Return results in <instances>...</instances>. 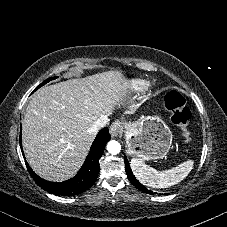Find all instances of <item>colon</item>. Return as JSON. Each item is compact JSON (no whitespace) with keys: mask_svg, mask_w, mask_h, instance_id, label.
I'll use <instances>...</instances> for the list:
<instances>
[{"mask_svg":"<svg viewBox=\"0 0 227 227\" xmlns=\"http://www.w3.org/2000/svg\"><path fill=\"white\" fill-rule=\"evenodd\" d=\"M166 107L171 113L173 123L178 128L182 139L185 142L191 140L189 131L190 110L186 99L177 91H171L166 96Z\"/></svg>","mask_w":227,"mask_h":227,"instance_id":"1","label":"colon"}]
</instances>
